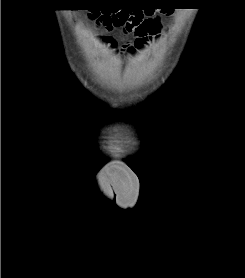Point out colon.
Listing matches in <instances>:
<instances>
[{
	"label": "colon",
	"instance_id": "obj_1",
	"mask_svg": "<svg viewBox=\"0 0 245 278\" xmlns=\"http://www.w3.org/2000/svg\"><path fill=\"white\" fill-rule=\"evenodd\" d=\"M97 24L106 31L119 28L124 34H135L139 38H147L160 32L156 19L148 16L147 12L135 10L130 13L101 14Z\"/></svg>",
	"mask_w": 245,
	"mask_h": 278
}]
</instances>
